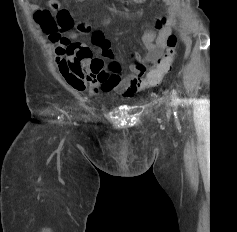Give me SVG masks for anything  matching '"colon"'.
<instances>
[{
  "mask_svg": "<svg viewBox=\"0 0 237 232\" xmlns=\"http://www.w3.org/2000/svg\"><path fill=\"white\" fill-rule=\"evenodd\" d=\"M142 1V0H137ZM50 9H41L35 13V19L40 27L48 34L50 41L67 43L71 40L74 20L71 13L62 6L59 0H48ZM79 32H88L90 26L86 23L77 25ZM178 45L177 37L170 34L167 38V50L158 61L157 67L148 72L145 81L147 86L159 85L165 74L169 73L175 58Z\"/></svg>",
  "mask_w": 237,
  "mask_h": 232,
  "instance_id": "colon-1",
  "label": "colon"
}]
</instances>
